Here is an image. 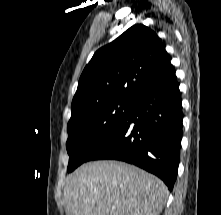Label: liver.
<instances>
[{
	"instance_id": "obj_1",
	"label": "liver",
	"mask_w": 221,
	"mask_h": 215,
	"mask_svg": "<svg viewBox=\"0 0 221 215\" xmlns=\"http://www.w3.org/2000/svg\"><path fill=\"white\" fill-rule=\"evenodd\" d=\"M168 188L156 176L130 164L96 161L67 177V215H159Z\"/></svg>"
}]
</instances>
